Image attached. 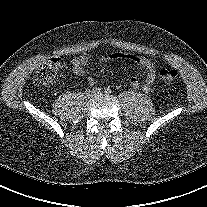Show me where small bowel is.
Here are the masks:
<instances>
[{"label": "small bowel", "mask_w": 207, "mask_h": 207, "mask_svg": "<svg viewBox=\"0 0 207 207\" xmlns=\"http://www.w3.org/2000/svg\"><path fill=\"white\" fill-rule=\"evenodd\" d=\"M124 58L133 61L140 68L145 70L146 79H145L144 84L142 85V89L146 93L150 92L152 89V85L156 78V68L150 60L145 59V58H139L136 56L125 55V54L118 53V52L105 55L102 57V60L109 61V60H118V59H124ZM87 65H88V57L86 55H81L73 59L72 61L73 72L78 76H83L87 73ZM88 81L90 84L95 83V79L92 77H89ZM130 85L134 89H138L141 86V83L138 78H132L130 80Z\"/></svg>", "instance_id": "c3829d8e"}]
</instances>
